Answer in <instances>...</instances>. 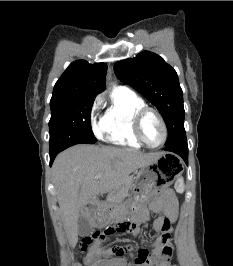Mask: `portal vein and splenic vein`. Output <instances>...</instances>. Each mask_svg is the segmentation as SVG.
Listing matches in <instances>:
<instances>
[{
	"instance_id": "obj_1",
	"label": "portal vein and splenic vein",
	"mask_w": 233,
	"mask_h": 266,
	"mask_svg": "<svg viewBox=\"0 0 233 266\" xmlns=\"http://www.w3.org/2000/svg\"><path fill=\"white\" fill-rule=\"evenodd\" d=\"M97 178H101V174H98V175H97Z\"/></svg>"
}]
</instances>
